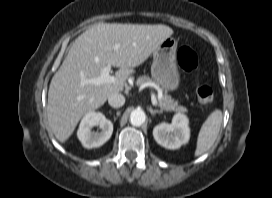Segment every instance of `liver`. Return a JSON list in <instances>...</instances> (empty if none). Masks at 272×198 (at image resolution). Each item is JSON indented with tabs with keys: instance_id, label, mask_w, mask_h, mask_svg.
Masks as SVG:
<instances>
[{
	"instance_id": "6515ba94",
	"label": "liver",
	"mask_w": 272,
	"mask_h": 198,
	"mask_svg": "<svg viewBox=\"0 0 272 198\" xmlns=\"http://www.w3.org/2000/svg\"><path fill=\"white\" fill-rule=\"evenodd\" d=\"M173 34L166 25L98 23L83 32L54 74L48 91L47 118L64 143L82 116L101 107L111 94L127 88L126 80ZM120 44L118 50L113 46ZM107 65L119 67L115 84H82L100 76Z\"/></svg>"
}]
</instances>
